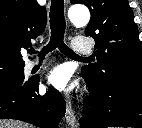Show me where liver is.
Instances as JSON below:
<instances>
[{"instance_id": "obj_1", "label": "liver", "mask_w": 142, "mask_h": 128, "mask_svg": "<svg viewBox=\"0 0 142 128\" xmlns=\"http://www.w3.org/2000/svg\"><path fill=\"white\" fill-rule=\"evenodd\" d=\"M0 128H34L28 123L17 120H0Z\"/></svg>"}]
</instances>
